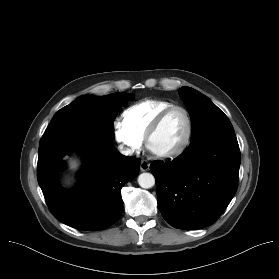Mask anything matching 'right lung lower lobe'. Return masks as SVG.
I'll list each match as a JSON object with an SVG mask.
<instances>
[{
	"label": "right lung lower lobe",
	"mask_w": 279,
	"mask_h": 279,
	"mask_svg": "<svg viewBox=\"0 0 279 279\" xmlns=\"http://www.w3.org/2000/svg\"><path fill=\"white\" fill-rule=\"evenodd\" d=\"M78 150L85 168L74 191L59 186L63 155ZM140 160L122 156L112 140L85 126H65L45 132L40 140L38 183L51 213L64 224L87 231L114 224L123 211L121 188L139 172Z\"/></svg>",
	"instance_id": "obj_1"
}]
</instances>
